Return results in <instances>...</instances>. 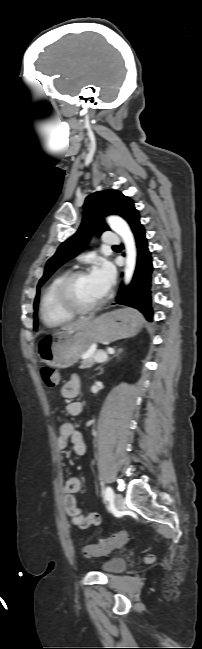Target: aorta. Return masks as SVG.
I'll use <instances>...</instances> for the list:
<instances>
[{
  "instance_id": "obj_1",
  "label": "aorta",
  "mask_w": 202,
  "mask_h": 649,
  "mask_svg": "<svg viewBox=\"0 0 202 649\" xmlns=\"http://www.w3.org/2000/svg\"><path fill=\"white\" fill-rule=\"evenodd\" d=\"M107 222L123 240L126 250V262L124 268V282L128 284L133 276L136 265V245L133 233L128 223L119 216H110Z\"/></svg>"
}]
</instances>
